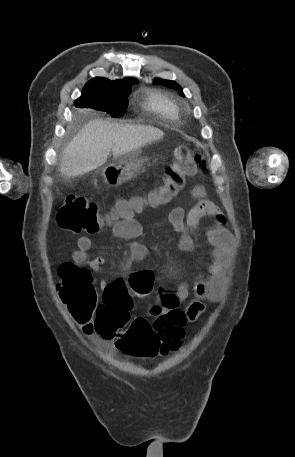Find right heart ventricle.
Listing matches in <instances>:
<instances>
[{
	"label": "right heart ventricle",
	"mask_w": 295,
	"mask_h": 457,
	"mask_svg": "<svg viewBox=\"0 0 295 457\" xmlns=\"http://www.w3.org/2000/svg\"><path fill=\"white\" fill-rule=\"evenodd\" d=\"M145 107L165 120L174 121L180 116V108L175 100L170 96L150 90L145 93Z\"/></svg>",
	"instance_id": "right-heart-ventricle-1"
}]
</instances>
